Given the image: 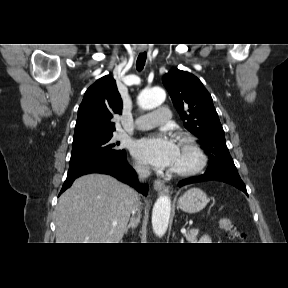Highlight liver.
I'll return each instance as SVG.
<instances>
[{
	"mask_svg": "<svg viewBox=\"0 0 288 288\" xmlns=\"http://www.w3.org/2000/svg\"><path fill=\"white\" fill-rule=\"evenodd\" d=\"M137 199L136 191L109 175L79 177L59 197L57 243H119Z\"/></svg>",
	"mask_w": 288,
	"mask_h": 288,
	"instance_id": "6515ba94",
	"label": "liver"
}]
</instances>
